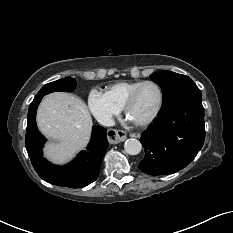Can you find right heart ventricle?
Returning a JSON list of instances; mask_svg holds the SVG:
<instances>
[{"mask_svg": "<svg viewBox=\"0 0 233 233\" xmlns=\"http://www.w3.org/2000/svg\"><path fill=\"white\" fill-rule=\"evenodd\" d=\"M142 82L143 81H120L108 86L105 93L115 104L122 108L132 90Z\"/></svg>", "mask_w": 233, "mask_h": 233, "instance_id": "obj_1", "label": "right heart ventricle"}]
</instances>
